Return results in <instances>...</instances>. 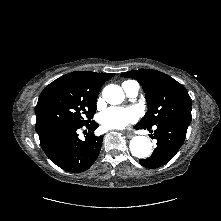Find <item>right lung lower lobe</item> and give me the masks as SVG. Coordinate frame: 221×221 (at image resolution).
I'll return each mask as SVG.
<instances>
[{
    "label": "right lung lower lobe",
    "mask_w": 221,
    "mask_h": 221,
    "mask_svg": "<svg viewBox=\"0 0 221 221\" xmlns=\"http://www.w3.org/2000/svg\"><path fill=\"white\" fill-rule=\"evenodd\" d=\"M95 121L83 126H56L39 133L42 149L47 157L60 168L80 173L90 168L97 159L103 138L95 136L93 131L98 128ZM80 128L88 129L85 140L78 138Z\"/></svg>",
    "instance_id": "obj_1"
}]
</instances>
